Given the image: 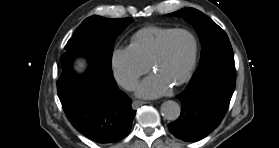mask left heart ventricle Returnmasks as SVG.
Returning a JSON list of instances; mask_svg holds the SVG:
<instances>
[{"label": "left heart ventricle", "mask_w": 279, "mask_h": 148, "mask_svg": "<svg viewBox=\"0 0 279 148\" xmlns=\"http://www.w3.org/2000/svg\"><path fill=\"white\" fill-rule=\"evenodd\" d=\"M193 52V40L186 33L174 35L167 43L165 56L154 66L153 73L175 83L187 70Z\"/></svg>", "instance_id": "1"}]
</instances>
